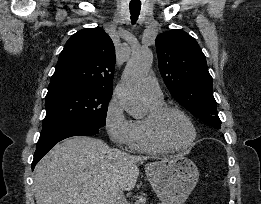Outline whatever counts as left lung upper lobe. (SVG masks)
<instances>
[{
  "label": "left lung upper lobe",
  "mask_w": 261,
  "mask_h": 204,
  "mask_svg": "<svg viewBox=\"0 0 261 204\" xmlns=\"http://www.w3.org/2000/svg\"><path fill=\"white\" fill-rule=\"evenodd\" d=\"M159 70L173 98L190 113L214 128H220L212 77L197 41L181 29L156 38Z\"/></svg>",
  "instance_id": "left-lung-upper-lobe-1"
}]
</instances>
